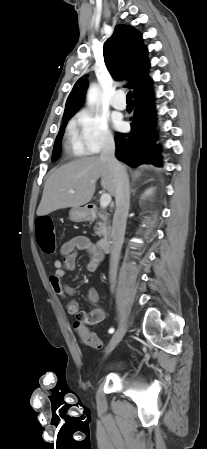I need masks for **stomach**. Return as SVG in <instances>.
Wrapping results in <instances>:
<instances>
[{
	"mask_svg": "<svg viewBox=\"0 0 207 449\" xmlns=\"http://www.w3.org/2000/svg\"><path fill=\"white\" fill-rule=\"evenodd\" d=\"M69 218L73 222H84L90 218V212L86 207H73L69 211Z\"/></svg>",
	"mask_w": 207,
	"mask_h": 449,
	"instance_id": "1",
	"label": "stomach"
}]
</instances>
